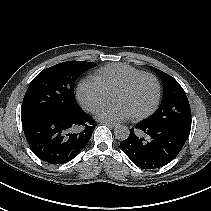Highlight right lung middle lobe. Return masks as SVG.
Instances as JSON below:
<instances>
[{"label": "right lung middle lobe", "mask_w": 211, "mask_h": 211, "mask_svg": "<svg viewBox=\"0 0 211 211\" xmlns=\"http://www.w3.org/2000/svg\"><path fill=\"white\" fill-rule=\"evenodd\" d=\"M95 66L92 62L68 61L41 71L25 93L21 118L81 112L74 96V83L82 73Z\"/></svg>", "instance_id": "obj_1"}]
</instances>
